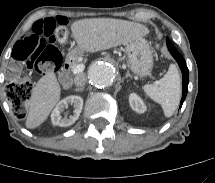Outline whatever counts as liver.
Instances as JSON below:
<instances>
[{
    "label": "liver",
    "mask_w": 215,
    "mask_h": 183,
    "mask_svg": "<svg viewBox=\"0 0 215 183\" xmlns=\"http://www.w3.org/2000/svg\"><path fill=\"white\" fill-rule=\"evenodd\" d=\"M72 37L80 51L98 52L146 36L149 29L136 22L111 18H93L75 21L71 25ZM61 88L54 73H47L32 89L27 102L26 127L40 126L60 99Z\"/></svg>",
    "instance_id": "1"
}]
</instances>
